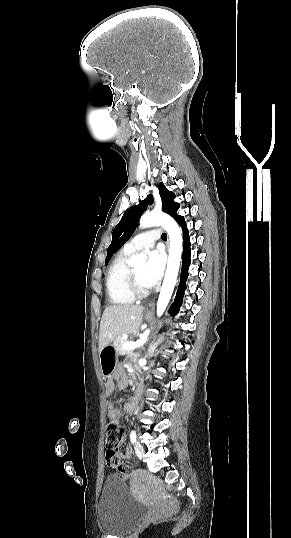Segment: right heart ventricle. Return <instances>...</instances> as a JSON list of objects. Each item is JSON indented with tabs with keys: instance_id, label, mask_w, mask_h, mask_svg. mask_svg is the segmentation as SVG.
<instances>
[{
	"instance_id": "e07e8e85",
	"label": "right heart ventricle",
	"mask_w": 291,
	"mask_h": 538,
	"mask_svg": "<svg viewBox=\"0 0 291 538\" xmlns=\"http://www.w3.org/2000/svg\"><path fill=\"white\" fill-rule=\"evenodd\" d=\"M133 252L123 248L113 258L107 273L106 289L107 295L112 304L127 305L135 301V297L130 293L127 284L130 270L128 260Z\"/></svg>"
}]
</instances>
